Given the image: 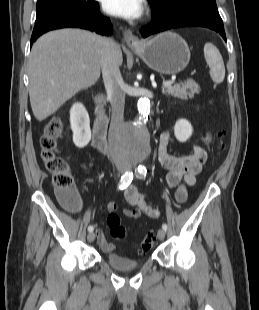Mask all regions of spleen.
<instances>
[{"mask_svg":"<svg viewBox=\"0 0 259 310\" xmlns=\"http://www.w3.org/2000/svg\"><path fill=\"white\" fill-rule=\"evenodd\" d=\"M204 56L210 68V77L214 83H221L225 78V66L218 48L208 42L204 45Z\"/></svg>","mask_w":259,"mask_h":310,"instance_id":"obj_1","label":"spleen"}]
</instances>
